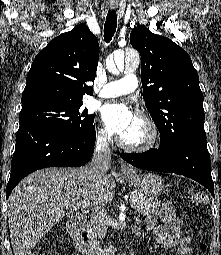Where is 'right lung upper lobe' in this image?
<instances>
[{
    "instance_id": "obj_1",
    "label": "right lung upper lobe",
    "mask_w": 221,
    "mask_h": 255,
    "mask_svg": "<svg viewBox=\"0 0 221 255\" xmlns=\"http://www.w3.org/2000/svg\"><path fill=\"white\" fill-rule=\"evenodd\" d=\"M99 44L86 24L54 38L35 57L22 94V109L50 103L82 102L93 95Z\"/></svg>"
}]
</instances>
